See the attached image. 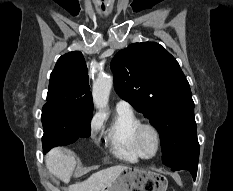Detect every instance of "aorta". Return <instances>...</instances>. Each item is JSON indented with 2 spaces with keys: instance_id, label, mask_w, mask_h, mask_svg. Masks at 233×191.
Here are the masks:
<instances>
[{
  "instance_id": "1",
  "label": "aorta",
  "mask_w": 233,
  "mask_h": 191,
  "mask_svg": "<svg viewBox=\"0 0 233 191\" xmlns=\"http://www.w3.org/2000/svg\"><path fill=\"white\" fill-rule=\"evenodd\" d=\"M113 78L110 75H101L93 82V102L98 109H104L108 105Z\"/></svg>"
}]
</instances>
